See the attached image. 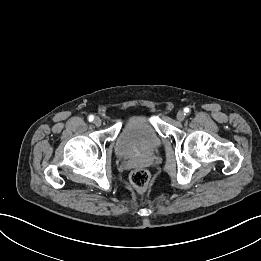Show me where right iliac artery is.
Instances as JSON below:
<instances>
[{
    "label": "right iliac artery",
    "instance_id": "82829eb1",
    "mask_svg": "<svg viewBox=\"0 0 261 261\" xmlns=\"http://www.w3.org/2000/svg\"><path fill=\"white\" fill-rule=\"evenodd\" d=\"M88 120H89L90 122H92V121L94 120V116H93V115H90V116L88 117Z\"/></svg>",
    "mask_w": 261,
    "mask_h": 261
}]
</instances>
